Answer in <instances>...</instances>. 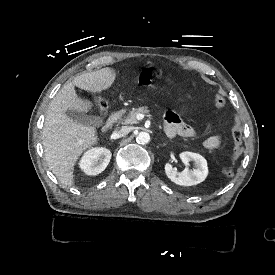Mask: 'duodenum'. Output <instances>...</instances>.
Instances as JSON below:
<instances>
[{"mask_svg": "<svg viewBox=\"0 0 275 275\" xmlns=\"http://www.w3.org/2000/svg\"><path fill=\"white\" fill-rule=\"evenodd\" d=\"M121 113L119 111L113 112L105 121L102 126V132L107 133L109 132L114 125L116 124L117 120L119 119Z\"/></svg>", "mask_w": 275, "mask_h": 275, "instance_id": "duodenum-1", "label": "duodenum"}]
</instances>
